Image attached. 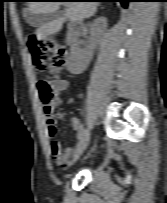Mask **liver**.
<instances>
[{
  "mask_svg": "<svg viewBox=\"0 0 167 203\" xmlns=\"http://www.w3.org/2000/svg\"><path fill=\"white\" fill-rule=\"evenodd\" d=\"M60 2H29V11L32 13H51L57 11ZM66 14L44 26H41L36 31V37L46 39L50 35L57 34L67 20L82 21L95 14L98 7V2H69Z\"/></svg>",
  "mask_w": 167,
  "mask_h": 203,
  "instance_id": "liver-1",
  "label": "liver"
}]
</instances>
